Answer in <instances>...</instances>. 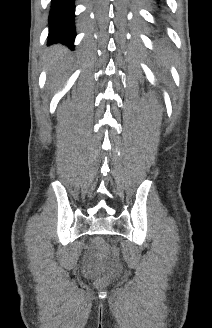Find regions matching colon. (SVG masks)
Segmentation results:
<instances>
[{
  "instance_id": "obj_1",
  "label": "colon",
  "mask_w": 212,
  "mask_h": 328,
  "mask_svg": "<svg viewBox=\"0 0 212 328\" xmlns=\"http://www.w3.org/2000/svg\"><path fill=\"white\" fill-rule=\"evenodd\" d=\"M96 244L99 249V256L101 258L108 256L110 253L114 256L118 254V250L115 247L108 248L102 240H97ZM113 269L115 271L119 269V265L117 262L113 263Z\"/></svg>"
}]
</instances>
